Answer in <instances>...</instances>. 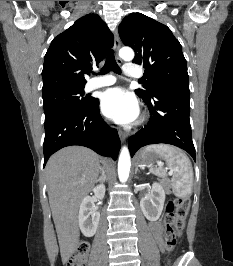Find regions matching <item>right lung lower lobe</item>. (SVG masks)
Here are the masks:
<instances>
[{
  "mask_svg": "<svg viewBox=\"0 0 233 266\" xmlns=\"http://www.w3.org/2000/svg\"><path fill=\"white\" fill-rule=\"evenodd\" d=\"M70 145L85 146L116 160L120 139L117 130L101 118L98 99L93 98L84 109L63 111L45 119L44 166L54 152Z\"/></svg>",
  "mask_w": 233,
  "mask_h": 266,
  "instance_id": "right-lung-lower-lobe-1",
  "label": "right lung lower lobe"
}]
</instances>
